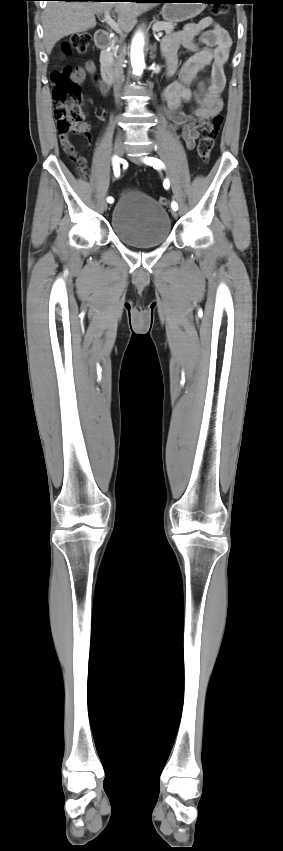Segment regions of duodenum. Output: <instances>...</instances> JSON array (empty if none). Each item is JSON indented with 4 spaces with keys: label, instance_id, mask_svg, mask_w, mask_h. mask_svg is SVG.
I'll return each instance as SVG.
<instances>
[{
    "label": "duodenum",
    "instance_id": "obj_1",
    "mask_svg": "<svg viewBox=\"0 0 283 851\" xmlns=\"http://www.w3.org/2000/svg\"><path fill=\"white\" fill-rule=\"evenodd\" d=\"M110 34L106 31H99L95 35V44L99 49H106L110 43ZM101 77L106 83L111 86L114 81V76L112 75V71L108 66H103L101 68Z\"/></svg>",
    "mask_w": 283,
    "mask_h": 851
}]
</instances>
